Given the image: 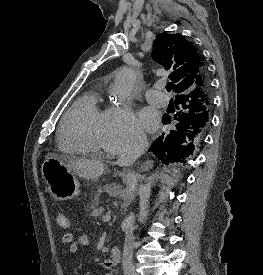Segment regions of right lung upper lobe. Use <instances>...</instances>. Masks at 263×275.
Segmentation results:
<instances>
[{
	"label": "right lung upper lobe",
	"instance_id": "1",
	"mask_svg": "<svg viewBox=\"0 0 263 275\" xmlns=\"http://www.w3.org/2000/svg\"><path fill=\"white\" fill-rule=\"evenodd\" d=\"M152 58L166 70L179 95L193 96L203 90L199 107L209 119L212 109L210 83L202 74L205 64L195 46L180 34H158L153 44ZM175 97V98H176ZM188 103V102H186Z\"/></svg>",
	"mask_w": 263,
	"mask_h": 275
}]
</instances>
